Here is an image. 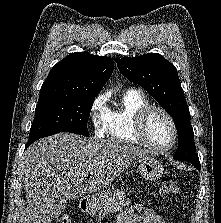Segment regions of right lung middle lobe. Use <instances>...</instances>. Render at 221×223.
<instances>
[{
	"label": "right lung middle lobe",
	"instance_id": "right-lung-middle-lobe-1",
	"mask_svg": "<svg viewBox=\"0 0 221 223\" xmlns=\"http://www.w3.org/2000/svg\"><path fill=\"white\" fill-rule=\"evenodd\" d=\"M95 97H69L38 101L27 143L59 132L88 136L87 120Z\"/></svg>",
	"mask_w": 221,
	"mask_h": 223
}]
</instances>
